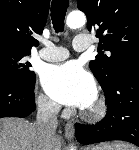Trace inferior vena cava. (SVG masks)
<instances>
[{"mask_svg": "<svg viewBox=\"0 0 139 150\" xmlns=\"http://www.w3.org/2000/svg\"><path fill=\"white\" fill-rule=\"evenodd\" d=\"M60 106L46 98L38 102L35 132L40 150H54L55 132L58 126L57 114Z\"/></svg>", "mask_w": 139, "mask_h": 150, "instance_id": "obj_1", "label": "inferior vena cava"}]
</instances>
